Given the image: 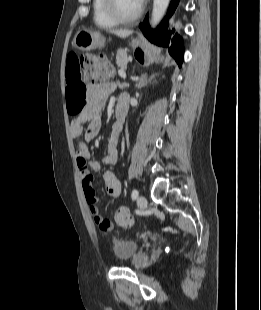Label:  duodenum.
I'll return each instance as SVG.
<instances>
[{
    "instance_id": "410a0bca",
    "label": "duodenum",
    "mask_w": 261,
    "mask_h": 310,
    "mask_svg": "<svg viewBox=\"0 0 261 310\" xmlns=\"http://www.w3.org/2000/svg\"><path fill=\"white\" fill-rule=\"evenodd\" d=\"M129 108V99L126 95L121 96L118 99L115 114L117 117V121L119 124L123 123V119L126 116Z\"/></svg>"
}]
</instances>
